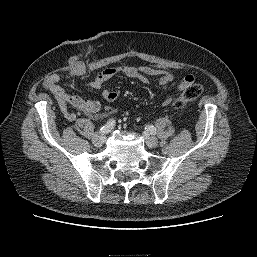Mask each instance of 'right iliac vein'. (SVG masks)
Here are the masks:
<instances>
[{
	"instance_id": "63e3f726",
	"label": "right iliac vein",
	"mask_w": 257,
	"mask_h": 257,
	"mask_svg": "<svg viewBox=\"0 0 257 257\" xmlns=\"http://www.w3.org/2000/svg\"><path fill=\"white\" fill-rule=\"evenodd\" d=\"M105 142V137L101 134H95L92 137V143L96 146V147H101Z\"/></svg>"
}]
</instances>
